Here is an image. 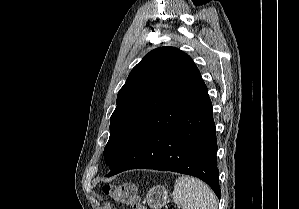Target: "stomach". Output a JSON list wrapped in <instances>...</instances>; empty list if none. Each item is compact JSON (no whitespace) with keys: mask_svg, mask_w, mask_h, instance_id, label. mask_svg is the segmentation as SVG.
<instances>
[{"mask_svg":"<svg viewBox=\"0 0 299 209\" xmlns=\"http://www.w3.org/2000/svg\"><path fill=\"white\" fill-rule=\"evenodd\" d=\"M167 201L168 192L162 185L152 187L146 195V202L152 209H161Z\"/></svg>","mask_w":299,"mask_h":209,"instance_id":"0dacf381","label":"stomach"}]
</instances>
